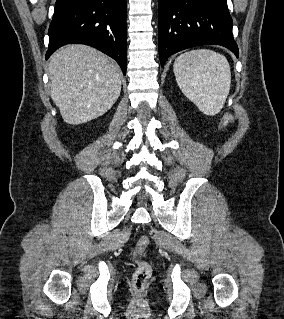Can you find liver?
Here are the masks:
<instances>
[{
    "mask_svg": "<svg viewBox=\"0 0 284 319\" xmlns=\"http://www.w3.org/2000/svg\"><path fill=\"white\" fill-rule=\"evenodd\" d=\"M51 98L63 120L78 125L107 112L121 92V71L102 52L81 44L60 48L49 64Z\"/></svg>",
    "mask_w": 284,
    "mask_h": 319,
    "instance_id": "liver-1",
    "label": "liver"
}]
</instances>
